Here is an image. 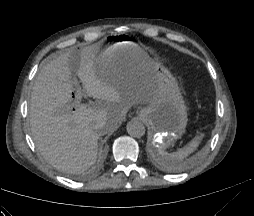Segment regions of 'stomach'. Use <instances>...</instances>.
Listing matches in <instances>:
<instances>
[{
	"mask_svg": "<svg viewBox=\"0 0 254 216\" xmlns=\"http://www.w3.org/2000/svg\"><path fill=\"white\" fill-rule=\"evenodd\" d=\"M105 58L109 61L103 66L100 62ZM97 60L102 72L150 71L155 78L153 94L147 106L139 111L151 128L150 141L154 147L165 150L181 137L188 121L187 107L176 79L167 68L126 36L103 40Z\"/></svg>",
	"mask_w": 254,
	"mask_h": 216,
	"instance_id": "1",
	"label": "stomach"
}]
</instances>
